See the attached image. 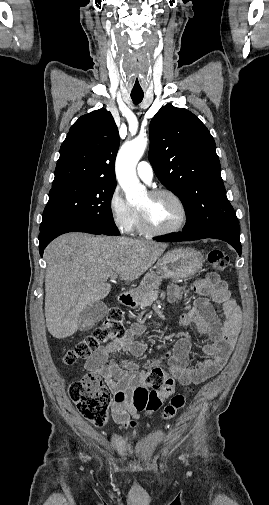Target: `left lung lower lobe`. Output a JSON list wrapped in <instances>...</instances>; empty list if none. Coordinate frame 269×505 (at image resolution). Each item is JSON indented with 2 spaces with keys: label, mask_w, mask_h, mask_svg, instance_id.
<instances>
[{
  "label": "left lung lower lobe",
  "mask_w": 269,
  "mask_h": 505,
  "mask_svg": "<svg viewBox=\"0 0 269 505\" xmlns=\"http://www.w3.org/2000/svg\"><path fill=\"white\" fill-rule=\"evenodd\" d=\"M204 238H215L228 242L232 245L239 255H241L240 233L233 230H219L201 235L177 234L170 237L158 239L161 242L192 241Z\"/></svg>",
  "instance_id": "left-lung-lower-lobe-1"
}]
</instances>
